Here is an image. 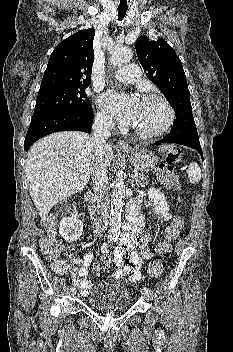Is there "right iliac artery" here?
I'll return each instance as SVG.
<instances>
[{
  "label": "right iliac artery",
  "instance_id": "right-iliac-artery-1",
  "mask_svg": "<svg viewBox=\"0 0 233 352\" xmlns=\"http://www.w3.org/2000/svg\"><path fill=\"white\" fill-rule=\"evenodd\" d=\"M75 291H76L75 287H72L71 292H75Z\"/></svg>",
  "mask_w": 233,
  "mask_h": 352
}]
</instances>
